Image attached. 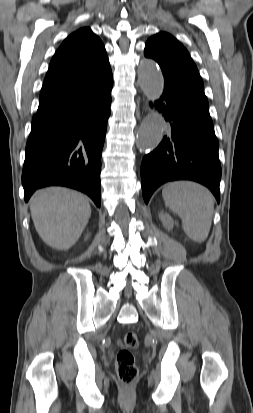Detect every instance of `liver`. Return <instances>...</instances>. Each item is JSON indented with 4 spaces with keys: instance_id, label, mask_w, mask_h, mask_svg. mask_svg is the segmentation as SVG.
Returning <instances> with one entry per match:
<instances>
[{
    "instance_id": "6515ba94",
    "label": "liver",
    "mask_w": 253,
    "mask_h": 413,
    "mask_svg": "<svg viewBox=\"0 0 253 413\" xmlns=\"http://www.w3.org/2000/svg\"><path fill=\"white\" fill-rule=\"evenodd\" d=\"M30 210L41 239L57 250H68L77 242L91 215L83 194L61 187L38 190Z\"/></svg>"
}]
</instances>
